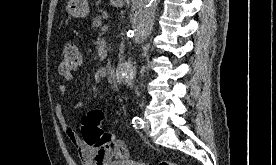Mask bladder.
I'll use <instances>...</instances> for the list:
<instances>
[{
    "label": "bladder",
    "mask_w": 276,
    "mask_h": 165,
    "mask_svg": "<svg viewBox=\"0 0 276 165\" xmlns=\"http://www.w3.org/2000/svg\"><path fill=\"white\" fill-rule=\"evenodd\" d=\"M110 165H146V164L133 161V160H116L112 162Z\"/></svg>",
    "instance_id": "1"
}]
</instances>
